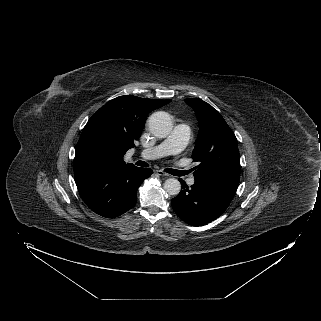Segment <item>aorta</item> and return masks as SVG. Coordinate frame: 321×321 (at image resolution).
<instances>
[{
  "instance_id": "1",
  "label": "aorta",
  "mask_w": 321,
  "mask_h": 321,
  "mask_svg": "<svg viewBox=\"0 0 321 321\" xmlns=\"http://www.w3.org/2000/svg\"><path fill=\"white\" fill-rule=\"evenodd\" d=\"M150 132L159 138L167 137L172 131V119L170 115L164 111L153 113L148 120ZM164 190L169 195H178L181 190L180 182L175 178H169L164 182Z\"/></svg>"
}]
</instances>
